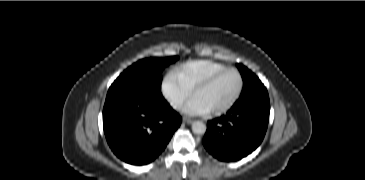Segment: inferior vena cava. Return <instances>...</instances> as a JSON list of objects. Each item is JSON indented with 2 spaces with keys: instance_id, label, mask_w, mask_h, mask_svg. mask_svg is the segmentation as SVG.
Returning a JSON list of instances; mask_svg holds the SVG:
<instances>
[{
  "instance_id": "obj_1",
  "label": "inferior vena cava",
  "mask_w": 365,
  "mask_h": 180,
  "mask_svg": "<svg viewBox=\"0 0 365 180\" xmlns=\"http://www.w3.org/2000/svg\"><path fill=\"white\" fill-rule=\"evenodd\" d=\"M170 104L173 108L176 109L182 104V99L176 98V99L172 100Z\"/></svg>"
}]
</instances>
